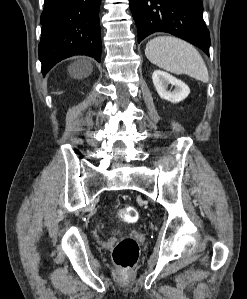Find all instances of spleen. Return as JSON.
Returning <instances> with one entry per match:
<instances>
[{
    "label": "spleen",
    "mask_w": 247,
    "mask_h": 299,
    "mask_svg": "<svg viewBox=\"0 0 247 299\" xmlns=\"http://www.w3.org/2000/svg\"><path fill=\"white\" fill-rule=\"evenodd\" d=\"M147 59L154 65L174 74H187L207 83L209 74L206 64L190 43L171 36L150 40L145 48Z\"/></svg>",
    "instance_id": "spleen-1"
}]
</instances>
